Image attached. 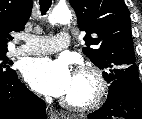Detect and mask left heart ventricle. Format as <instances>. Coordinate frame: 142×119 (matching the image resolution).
Here are the masks:
<instances>
[{
  "mask_svg": "<svg viewBox=\"0 0 142 119\" xmlns=\"http://www.w3.org/2000/svg\"><path fill=\"white\" fill-rule=\"evenodd\" d=\"M92 91V82L88 77L74 75L72 87L65 96L74 101H84Z\"/></svg>",
  "mask_w": 142,
  "mask_h": 119,
  "instance_id": "b2bd125f",
  "label": "left heart ventricle"
}]
</instances>
